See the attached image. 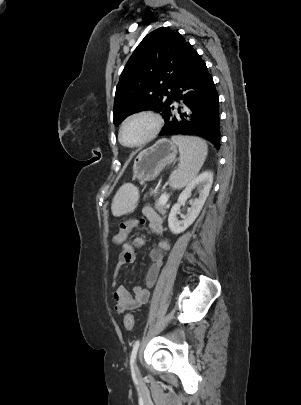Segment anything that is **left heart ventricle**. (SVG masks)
<instances>
[{
	"mask_svg": "<svg viewBox=\"0 0 301 405\" xmlns=\"http://www.w3.org/2000/svg\"><path fill=\"white\" fill-rule=\"evenodd\" d=\"M152 125V121L148 118H136L130 121L123 130V141L128 145L140 142L149 134Z\"/></svg>",
	"mask_w": 301,
	"mask_h": 405,
	"instance_id": "obj_1",
	"label": "left heart ventricle"
}]
</instances>
